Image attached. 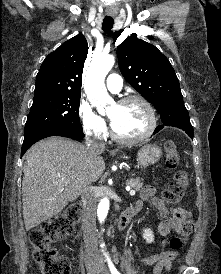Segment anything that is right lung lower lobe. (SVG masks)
Returning <instances> with one entry per match:
<instances>
[{"label": "right lung lower lobe", "instance_id": "obj_1", "mask_svg": "<svg viewBox=\"0 0 221 274\" xmlns=\"http://www.w3.org/2000/svg\"><path fill=\"white\" fill-rule=\"evenodd\" d=\"M50 136H63L75 140H80L84 137V134L83 132L63 127L43 128L24 135L21 155H23L26 152V150H28L35 142Z\"/></svg>", "mask_w": 221, "mask_h": 274}]
</instances>
